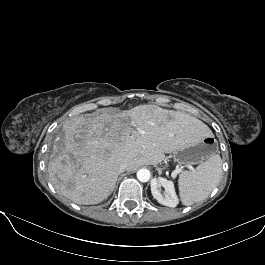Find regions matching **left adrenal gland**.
I'll list each match as a JSON object with an SVG mask.
<instances>
[{
    "mask_svg": "<svg viewBox=\"0 0 265 265\" xmlns=\"http://www.w3.org/2000/svg\"><path fill=\"white\" fill-rule=\"evenodd\" d=\"M162 169H158L159 174H161Z\"/></svg>",
    "mask_w": 265,
    "mask_h": 265,
    "instance_id": "1",
    "label": "left adrenal gland"
}]
</instances>
